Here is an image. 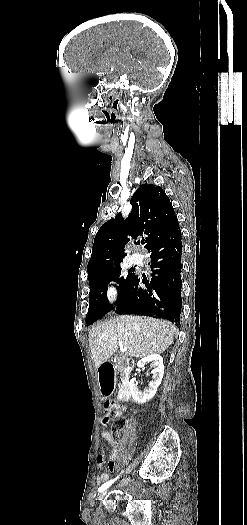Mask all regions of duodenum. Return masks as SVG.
I'll return each instance as SVG.
<instances>
[{
    "label": "duodenum",
    "mask_w": 247,
    "mask_h": 525,
    "mask_svg": "<svg viewBox=\"0 0 247 525\" xmlns=\"http://www.w3.org/2000/svg\"><path fill=\"white\" fill-rule=\"evenodd\" d=\"M117 366L113 361H104L98 367V380L101 389V393L104 396H110L114 388V368ZM124 371V377L120 384L118 398L122 402H126L130 399V382H129V371L130 365H122Z\"/></svg>",
    "instance_id": "duodenum-1"
}]
</instances>
